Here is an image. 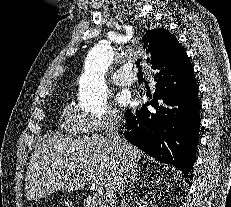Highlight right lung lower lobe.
<instances>
[{"label":"right lung lower lobe","mask_w":231,"mask_h":207,"mask_svg":"<svg viewBox=\"0 0 231 207\" xmlns=\"http://www.w3.org/2000/svg\"><path fill=\"white\" fill-rule=\"evenodd\" d=\"M152 32L148 30L144 39ZM152 68L158 69L154 96L139 110L126 111L124 136L155 159L176 166L187 177L195 162L200 127L194 70L190 61L178 65L159 62Z\"/></svg>","instance_id":"1"}]
</instances>
